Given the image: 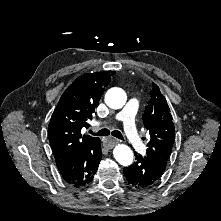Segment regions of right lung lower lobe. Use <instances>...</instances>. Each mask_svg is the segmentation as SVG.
<instances>
[{
	"instance_id": "1",
	"label": "right lung lower lobe",
	"mask_w": 221,
	"mask_h": 221,
	"mask_svg": "<svg viewBox=\"0 0 221 221\" xmlns=\"http://www.w3.org/2000/svg\"><path fill=\"white\" fill-rule=\"evenodd\" d=\"M100 139L83 148L58 168L62 178L74 187L88 185L96 173L102 159Z\"/></svg>"
}]
</instances>
